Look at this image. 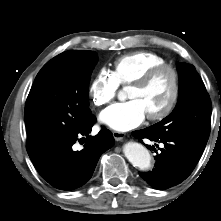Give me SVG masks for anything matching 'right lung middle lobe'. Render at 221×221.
Here are the masks:
<instances>
[{"instance_id":"right-lung-middle-lobe-1","label":"right lung middle lobe","mask_w":221,"mask_h":221,"mask_svg":"<svg viewBox=\"0 0 221 221\" xmlns=\"http://www.w3.org/2000/svg\"><path fill=\"white\" fill-rule=\"evenodd\" d=\"M93 51H66L37 74L25 105L27 141L69 138L92 116L89 81L97 63Z\"/></svg>"}]
</instances>
